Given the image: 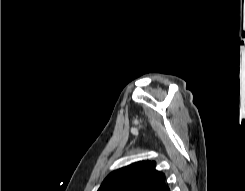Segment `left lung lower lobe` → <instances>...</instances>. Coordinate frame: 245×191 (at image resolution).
Returning <instances> with one entry per match:
<instances>
[{"instance_id": "1", "label": "left lung lower lobe", "mask_w": 245, "mask_h": 191, "mask_svg": "<svg viewBox=\"0 0 245 191\" xmlns=\"http://www.w3.org/2000/svg\"><path fill=\"white\" fill-rule=\"evenodd\" d=\"M161 191H170L168 185L164 186L163 189Z\"/></svg>"}]
</instances>
